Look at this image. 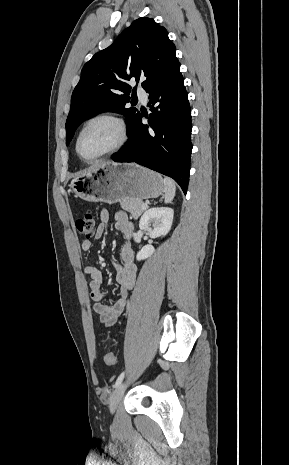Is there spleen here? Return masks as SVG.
I'll use <instances>...</instances> for the list:
<instances>
[{
  "instance_id": "1",
  "label": "spleen",
  "mask_w": 289,
  "mask_h": 465,
  "mask_svg": "<svg viewBox=\"0 0 289 465\" xmlns=\"http://www.w3.org/2000/svg\"><path fill=\"white\" fill-rule=\"evenodd\" d=\"M163 183H164V192H165V195H164L165 203H171L176 193L175 182L172 179L165 177L163 179Z\"/></svg>"
}]
</instances>
